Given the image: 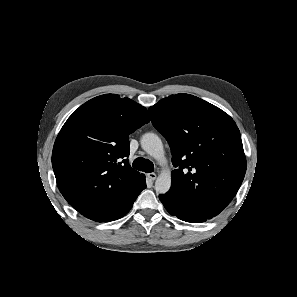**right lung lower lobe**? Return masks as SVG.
I'll list each match as a JSON object with an SVG mask.
<instances>
[{
  "label": "right lung lower lobe",
  "instance_id": "98d812e1",
  "mask_svg": "<svg viewBox=\"0 0 297 297\" xmlns=\"http://www.w3.org/2000/svg\"><path fill=\"white\" fill-rule=\"evenodd\" d=\"M145 188H146L145 175H143V177L133 187L132 191L128 194V196L121 202V204L114 210V212L111 213L109 216H107L103 221L109 222V221L117 220L123 217L125 214H127L131 209L134 201L140 194V192Z\"/></svg>",
  "mask_w": 297,
  "mask_h": 297
}]
</instances>
